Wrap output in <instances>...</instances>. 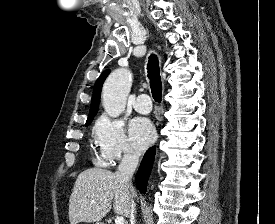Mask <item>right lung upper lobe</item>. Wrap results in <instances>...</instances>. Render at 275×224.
<instances>
[{
    "label": "right lung upper lobe",
    "instance_id": "cb5924a9",
    "mask_svg": "<svg viewBox=\"0 0 275 224\" xmlns=\"http://www.w3.org/2000/svg\"><path fill=\"white\" fill-rule=\"evenodd\" d=\"M108 74H109V70L104 71L95 83L92 101H91L90 112H89L87 121L93 120L94 116L97 114L99 102H100L102 85H103V82L105 81L106 77L108 76Z\"/></svg>",
    "mask_w": 275,
    "mask_h": 224
}]
</instances>
